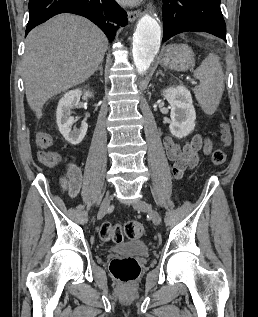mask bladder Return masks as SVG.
Wrapping results in <instances>:
<instances>
[{"instance_id":"31cf9c89","label":"bladder","mask_w":258,"mask_h":317,"mask_svg":"<svg viewBox=\"0 0 258 317\" xmlns=\"http://www.w3.org/2000/svg\"><path fill=\"white\" fill-rule=\"evenodd\" d=\"M110 251L120 257L137 258L147 256L149 249L143 241H131L118 244L112 247Z\"/></svg>"}]
</instances>
